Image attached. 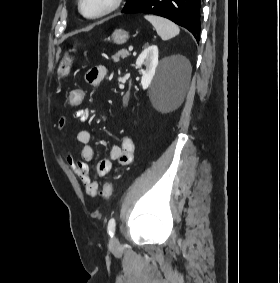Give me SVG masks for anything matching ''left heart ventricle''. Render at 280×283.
Listing matches in <instances>:
<instances>
[{
    "label": "left heart ventricle",
    "mask_w": 280,
    "mask_h": 283,
    "mask_svg": "<svg viewBox=\"0 0 280 283\" xmlns=\"http://www.w3.org/2000/svg\"><path fill=\"white\" fill-rule=\"evenodd\" d=\"M111 0H83V10L88 15H94L104 10Z\"/></svg>",
    "instance_id": "left-heart-ventricle-1"
}]
</instances>
